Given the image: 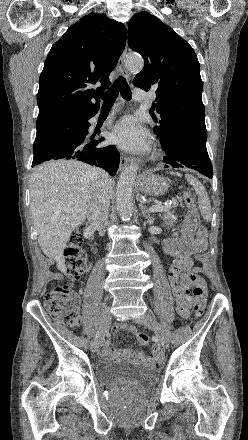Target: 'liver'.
<instances>
[{"mask_svg":"<svg viewBox=\"0 0 248 440\" xmlns=\"http://www.w3.org/2000/svg\"><path fill=\"white\" fill-rule=\"evenodd\" d=\"M94 167L75 160L48 161L30 178V211L43 253L66 269L63 255L71 233L88 216ZM113 183L111 180V196Z\"/></svg>","mask_w":248,"mask_h":440,"instance_id":"obj_1","label":"liver"}]
</instances>
